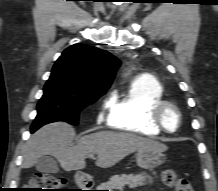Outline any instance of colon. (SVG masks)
<instances>
[{
	"label": "colon",
	"instance_id": "5ec220e1",
	"mask_svg": "<svg viewBox=\"0 0 218 191\" xmlns=\"http://www.w3.org/2000/svg\"><path fill=\"white\" fill-rule=\"evenodd\" d=\"M161 180L174 191H194L188 179L177 176L175 171L170 168L161 171ZM66 183L64 177L37 173L31 178L25 191H65Z\"/></svg>",
	"mask_w": 218,
	"mask_h": 191
}]
</instances>
